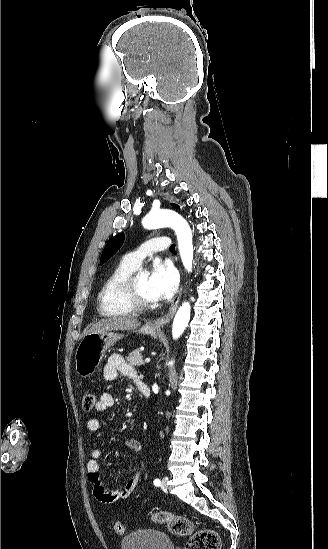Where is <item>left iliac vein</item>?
<instances>
[{
  "instance_id": "4c4485c4",
  "label": "left iliac vein",
  "mask_w": 328,
  "mask_h": 549,
  "mask_svg": "<svg viewBox=\"0 0 328 549\" xmlns=\"http://www.w3.org/2000/svg\"><path fill=\"white\" fill-rule=\"evenodd\" d=\"M167 480H168L167 477H164V478L162 479L161 489H162L163 491H166V490H167Z\"/></svg>"
}]
</instances>
